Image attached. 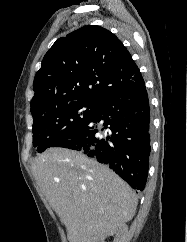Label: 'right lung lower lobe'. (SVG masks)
Masks as SVG:
<instances>
[{"mask_svg":"<svg viewBox=\"0 0 187 242\" xmlns=\"http://www.w3.org/2000/svg\"><path fill=\"white\" fill-rule=\"evenodd\" d=\"M52 147L106 164L132 188H145L150 156V107L145 84L101 101L93 114Z\"/></svg>","mask_w":187,"mask_h":242,"instance_id":"98d812e1","label":"right lung lower lobe"}]
</instances>
